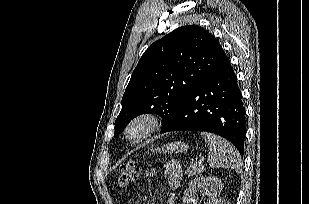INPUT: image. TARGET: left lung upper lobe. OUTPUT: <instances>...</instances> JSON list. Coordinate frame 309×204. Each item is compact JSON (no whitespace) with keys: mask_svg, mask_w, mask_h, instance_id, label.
Segmentation results:
<instances>
[{"mask_svg":"<svg viewBox=\"0 0 309 204\" xmlns=\"http://www.w3.org/2000/svg\"><path fill=\"white\" fill-rule=\"evenodd\" d=\"M225 58L217 39L197 25L177 28L154 42L132 73L115 120L114 136L145 113L159 114L163 126Z\"/></svg>","mask_w":309,"mask_h":204,"instance_id":"left-lung-upper-lobe-1","label":"left lung upper lobe"}]
</instances>
